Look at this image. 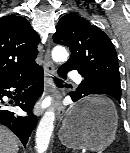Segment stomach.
Here are the masks:
<instances>
[{"mask_svg": "<svg viewBox=\"0 0 130 153\" xmlns=\"http://www.w3.org/2000/svg\"><path fill=\"white\" fill-rule=\"evenodd\" d=\"M118 115L105 97H88L70 109L59 131V139L68 148L102 151L115 137Z\"/></svg>", "mask_w": 130, "mask_h": 153, "instance_id": "stomach-1", "label": "stomach"}]
</instances>
